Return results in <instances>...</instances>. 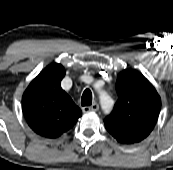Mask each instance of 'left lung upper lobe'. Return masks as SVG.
Wrapping results in <instances>:
<instances>
[{
	"instance_id": "left-lung-upper-lobe-1",
	"label": "left lung upper lobe",
	"mask_w": 173,
	"mask_h": 170,
	"mask_svg": "<svg viewBox=\"0 0 173 170\" xmlns=\"http://www.w3.org/2000/svg\"><path fill=\"white\" fill-rule=\"evenodd\" d=\"M118 101L104 120L108 132L120 143L132 144L153 130L161 109V99L152 84L139 72L126 69L116 83Z\"/></svg>"
}]
</instances>
